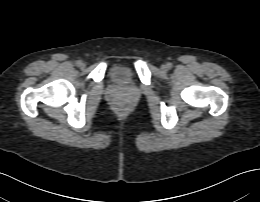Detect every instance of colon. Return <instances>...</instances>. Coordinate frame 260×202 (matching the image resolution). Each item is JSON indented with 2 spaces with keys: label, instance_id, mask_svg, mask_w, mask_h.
I'll return each instance as SVG.
<instances>
[{
  "label": "colon",
  "instance_id": "1",
  "mask_svg": "<svg viewBox=\"0 0 260 202\" xmlns=\"http://www.w3.org/2000/svg\"><path fill=\"white\" fill-rule=\"evenodd\" d=\"M119 109H120L121 112H124L126 110V107L125 106H120Z\"/></svg>",
  "mask_w": 260,
  "mask_h": 202
}]
</instances>
